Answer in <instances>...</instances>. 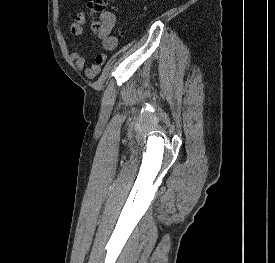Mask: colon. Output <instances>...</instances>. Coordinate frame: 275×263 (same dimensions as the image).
<instances>
[{
	"mask_svg": "<svg viewBox=\"0 0 275 263\" xmlns=\"http://www.w3.org/2000/svg\"><path fill=\"white\" fill-rule=\"evenodd\" d=\"M107 0H89L88 1V9L92 13H100L105 9ZM93 28L99 32L103 33L106 30V21L105 19L102 21H97L93 24Z\"/></svg>",
	"mask_w": 275,
	"mask_h": 263,
	"instance_id": "1",
	"label": "colon"
}]
</instances>
